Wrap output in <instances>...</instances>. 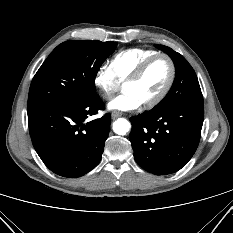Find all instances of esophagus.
<instances>
[{"label":"esophagus","instance_id":"1","mask_svg":"<svg viewBox=\"0 0 233 233\" xmlns=\"http://www.w3.org/2000/svg\"><path fill=\"white\" fill-rule=\"evenodd\" d=\"M111 116H112L113 119H115V118H118V117L122 116V113L120 111H113L111 113Z\"/></svg>","mask_w":233,"mask_h":233}]
</instances>
